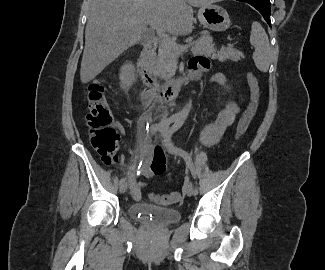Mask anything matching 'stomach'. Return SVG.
Segmentation results:
<instances>
[{
  "label": "stomach",
  "mask_w": 325,
  "mask_h": 270,
  "mask_svg": "<svg viewBox=\"0 0 325 270\" xmlns=\"http://www.w3.org/2000/svg\"><path fill=\"white\" fill-rule=\"evenodd\" d=\"M198 19L205 28L213 31H224L230 26L228 13L214 4L202 5L198 11Z\"/></svg>",
  "instance_id": "1"
}]
</instances>
